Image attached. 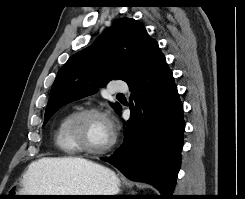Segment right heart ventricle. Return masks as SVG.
Masks as SVG:
<instances>
[{
	"mask_svg": "<svg viewBox=\"0 0 245 199\" xmlns=\"http://www.w3.org/2000/svg\"><path fill=\"white\" fill-rule=\"evenodd\" d=\"M73 112L66 114L57 125L54 131V142L57 148L66 156H74L78 151L73 147L71 140L67 135V124Z\"/></svg>",
	"mask_w": 245,
	"mask_h": 199,
	"instance_id": "e07e8e85",
	"label": "right heart ventricle"
}]
</instances>
